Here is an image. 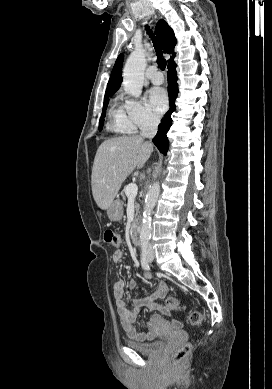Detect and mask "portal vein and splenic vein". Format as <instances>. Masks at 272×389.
Wrapping results in <instances>:
<instances>
[{"instance_id": "1", "label": "portal vein and splenic vein", "mask_w": 272, "mask_h": 389, "mask_svg": "<svg viewBox=\"0 0 272 389\" xmlns=\"http://www.w3.org/2000/svg\"><path fill=\"white\" fill-rule=\"evenodd\" d=\"M138 187L135 183H130L126 188H125V194L129 198H134L137 195Z\"/></svg>"}]
</instances>
